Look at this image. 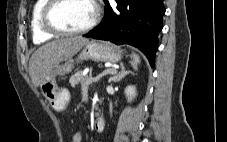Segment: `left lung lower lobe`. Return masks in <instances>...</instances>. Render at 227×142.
<instances>
[{
    "label": "left lung lower lobe",
    "instance_id": "obj_1",
    "mask_svg": "<svg viewBox=\"0 0 227 142\" xmlns=\"http://www.w3.org/2000/svg\"><path fill=\"white\" fill-rule=\"evenodd\" d=\"M115 1L117 7H111L109 3L106 5L103 23L84 36L135 46L146 55L153 67L158 34L166 11L163 0Z\"/></svg>",
    "mask_w": 227,
    "mask_h": 142
}]
</instances>
